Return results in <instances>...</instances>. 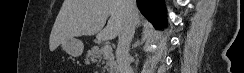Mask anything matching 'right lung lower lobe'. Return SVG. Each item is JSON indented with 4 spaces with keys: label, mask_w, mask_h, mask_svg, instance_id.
I'll use <instances>...</instances> for the list:
<instances>
[{
    "label": "right lung lower lobe",
    "mask_w": 244,
    "mask_h": 73,
    "mask_svg": "<svg viewBox=\"0 0 244 73\" xmlns=\"http://www.w3.org/2000/svg\"><path fill=\"white\" fill-rule=\"evenodd\" d=\"M141 13L156 27L165 26V8L163 0H137Z\"/></svg>",
    "instance_id": "1"
}]
</instances>
